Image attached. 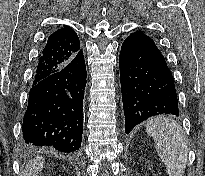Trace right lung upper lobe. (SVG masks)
Instances as JSON below:
<instances>
[{"instance_id":"cb5924a9","label":"right lung upper lobe","mask_w":205,"mask_h":176,"mask_svg":"<svg viewBox=\"0 0 205 176\" xmlns=\"http://www.w3.org/2000/svg\"><path fill=\"white\" fill-rule=\"evenodd\" d=\"M81 50L79 38L72 28L53 32L42 50L33 84L60 70Z\"/></svg>"}]
</instances>
